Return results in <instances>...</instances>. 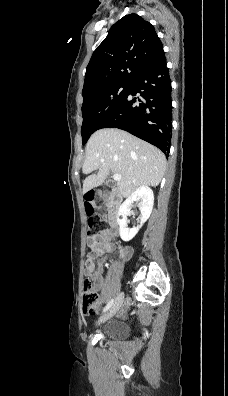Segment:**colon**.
Wrapping results in <instances>:
<instances>
[{"mask_svg":"<svg viewBox=\"0 0 228 396\" xmlns=\"http://www.w3.org/2000/svg\"><path fill=\"white\" fill-rule=\"evenodd\" d=\"M106 197L103 194L89 191L85 195V212L88 216V240L96 242L98 235L106 226L105 221L95 216V210L105 205ZM82 311L85 315H95L99 312L98 294L94 289V282L91 279L84 281Z\"/></svg>","mask_w":228,"mask_h":396,"instance_id":"1","label":"colon"}]
</instances>
